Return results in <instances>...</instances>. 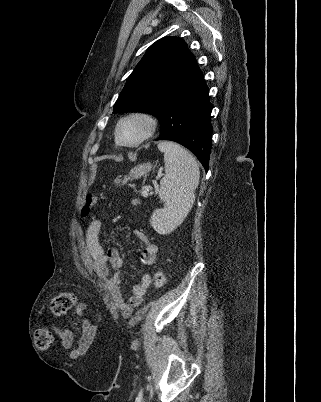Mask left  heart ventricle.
Listing matches in <instances>:
<instances>
[{
    "instance_id": "left-heart-ventricle-1",
    "label": "left heart ventricle",
    "mask_w": 321,
    "mask_h": 402,
    "mask_svg": "<svg viewBox=\"0 0 321 402\" xmlns=\"http://www.w3.org/2000/svg\"><path fill=\"white\" fill-rule=\"evenodd\" d=\"M144 131V125L140 121H129L124 123L119 130V136L122 142L135 141Z\"/></svg>"
}]
</instances>
